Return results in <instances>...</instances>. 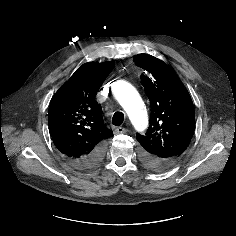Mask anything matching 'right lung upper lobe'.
<instances>
[{
  "label": "right lung upper lobe",
  "instance_id": "1",
  "mask_svg": "<svg viewBox=\"0 0 236 236\" xmlns=\"http://www.w3.org/2000/svg\"><path fill=\"white\" fill-rule=\"evenodd\" d=\"M113 68V62L86 63L52 97L48 111L49 132L56 148L65 157L86 156L113 136L95 100Z\"/></svg>",
  "mask_w": 236,
  "mask_h": 236
}]
</instances>
